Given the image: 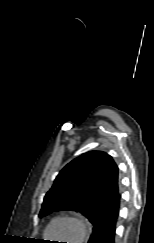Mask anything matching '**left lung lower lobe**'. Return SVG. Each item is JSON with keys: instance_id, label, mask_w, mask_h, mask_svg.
Here are the masks:
<instances>
[{"instance_id": "left-lung-lower-lobe-1", "label": "left lung lower lobe", "mask_w": 154, "mask_h": 243, "mask_svg": "<svg viewBox=\"0 0 154 243\" xmlns=\"http://www.w3.org/2000/svg\"><path fill=\"white\" fill-rule=\"evenodd\" d=\"M119 189L118 168L112 158L108 156L89 190L90 198L99 202L104 212L93 224V233L88 243L116 242V226L121 199Z\"/></svg>"}]
</instances>
